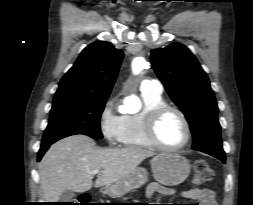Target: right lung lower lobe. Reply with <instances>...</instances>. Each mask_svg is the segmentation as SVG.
I'll return each mask as SVG.
<instances>
[{
    "label": "right lung lower lobe",
    "instance_id": "right-lung-lower-lobe-1",
    "mask_svg": "<svg viewBox=\"0 0 253 205\" xmlns=\"http://www.w3.org/2000/svg\"><path fill=\"white\" fill-rule=\"evenodd\" d=\"M51 144L41 145L40 150L38 152V161L41 160L42 156L44 155V153L47 151V149L50 147Z\"/></svg>",
    "mask_w": 253,
    "mask_h": 205
}]
</instances>
